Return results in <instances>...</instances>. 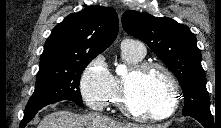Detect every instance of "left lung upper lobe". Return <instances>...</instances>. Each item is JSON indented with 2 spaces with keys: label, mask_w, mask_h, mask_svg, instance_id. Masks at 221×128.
Here are the masks:
<instances>
[{
  "label": "left lung upper lobe",
  "mask_w": 221,
  "mask_h": 128,
  "mask_svg": "<svg viewBox=\"0 0 221 128\" xmlns=\"http://www.w3.org/2000/svg\"><path fill=\"white\" fill-rule=\"evenodd\" d=\"M126 33L145 42L177 77L183 91V116H212L201 66V52L190 29L169 17L128 10L122 15Z\"/></svg>",
  "instance_id": "obj_1"
}]
</instances>
